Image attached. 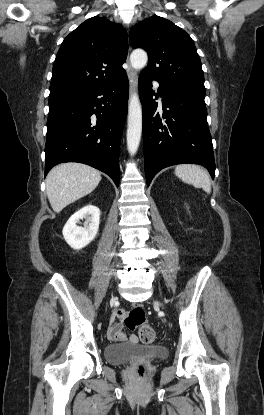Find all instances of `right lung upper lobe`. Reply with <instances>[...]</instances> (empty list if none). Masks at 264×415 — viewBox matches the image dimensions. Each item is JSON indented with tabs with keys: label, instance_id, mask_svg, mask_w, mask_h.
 <instances>
[{
	"label": "right lung upper lobe",
	"instance_id": "cb5924a9",
	"mask_svg": "<svg viewBox=\"0 0 264 415\" xmlns=\"http://www.w3.org/2000/svg\"><path fill=\"white\" fill-rule=\"evenodd\" d=\"M127 33L120 24L95 16L62 42L56 55L49 100L80 94L118 79L125 70Z\"/></svg>",
	"mask_w": 264,
	"mask_h": 415
}]
</instances>
